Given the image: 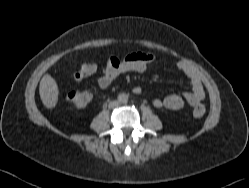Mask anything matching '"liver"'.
Masks as SVG:
<instances>
[{
  "mask_svg": "<svg viewBox=\"0 0 249 188\" xmlns=\"http://www.w3.org/2000/svg\"><path fill=\"white\" fill-rule=\"evenodd\" d=\"M39 94L42 103L48 109H53L59 96V89L55 79L50 74H45L39 85Z\"/></svg>",
  "mask_w": 249,
  "mask_h": 188,
  "instance_id": "6515ba94",
  "label": "liver"
}]
</instances>
